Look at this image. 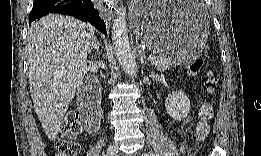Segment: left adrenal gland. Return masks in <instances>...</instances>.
I'll list each match as a JSON object with an SVG mask.
<instances>
[{
	"instance_id": "a2214340",
	"label": "left adrenal gland",
	"mask_w": 261,
	"mask_h": 156,
	"mask_svg": "<svg viewBox=\"0 0 261 156\" xmlns=\"http://www.w3.org/2000/svg\"><path fill=\"white\" fill-rule=\"evenodd\" d=\"M137 48H138V55H139V58H140L141 63H142V64H147L146 56H145L143 50L140 49L139 46H138Z\"/></svg>"
}]
</instances>
